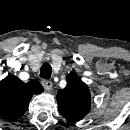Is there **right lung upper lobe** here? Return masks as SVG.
Segmentation results:
<instances>
[{
    "label": "right lung upper lobe",
    "mask_w": 130,
    "mask_h": 130,
    "mask_svg": "<svg viewBox=\"0 0 130 130\" xmlns=\"http://www.w3.org/2000/svg\"><path fill=\"white\" fill-rule=\"evenodd\" d=\"M43 87L37 80L24 83L18 77L9 75L0 81V116L15 120L23 116L34 94H40Z\"/></svg>",
    "instance_id": "cb5924a9"
}]
</instances>
